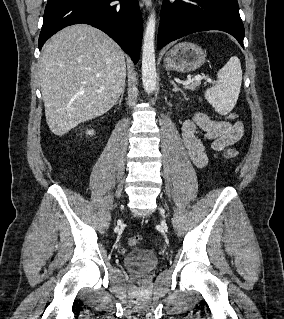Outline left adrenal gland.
I'll use <instances>...</instances> for the list:
<instances>
[{
    "mask_svg": "<svg viewBox=\"0 0 284 319\" xmlns=\"http://www.w3.org/2000/svg\"><path fill=\"white\" fill-rule=\"evenodd\" d=\"M170 83L173 85V92L180 91L183 94L184 98H186L185 93L180 88H178L177 84L173 80H170Z\"/></svg>",
    "mask_w": 284,
    "mask_h": 319,
    "instance_id": "1",
    "label": "left adrenal gland"
}]
</instances>
